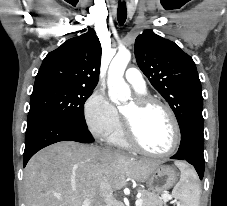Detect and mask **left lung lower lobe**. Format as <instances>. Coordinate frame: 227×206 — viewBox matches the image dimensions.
<instances>
[{
  "instance_id": "0a47b994",
  "label": "left lung lower lobe",
  "mask_w": 227,
  "mask_h": 206,
  "mask_svg": "<svg viewBox=\"0 0 227 206\" xmlns=\"http://www.w3.org/2000/svg\"><path fill=\"white\" fill-rule=\"evenodd\" d=\"M203 147V128L193 125L181 134L180 147L171 159L186 160L195 167L200 179H202L204 175Z\"/></svg>"
}]
</instances>
